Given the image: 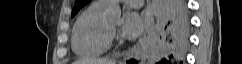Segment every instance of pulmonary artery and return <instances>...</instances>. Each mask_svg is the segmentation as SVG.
Here are the masks:
<instances>
[{
  "mask_svg": "<svg viewBox=\"0 0 242 64\" xmlns=\"http://www.w3.org/2000/svg\"><path fill=\"white\" fill-rule=\"evenodd\" d=\"M120 1L130 5L132 7H135V8H139L143 4L142 0H120ZM114 2H116V0H99V1H96L95 3L106 7V6H108V5H110L111 3H114Z\"/></svg>",
  "mask_w": 242,
  "mask_h": 64,
  "instance_id": "obj_1",
  "label": "pulmonary artery"
}]
</instances>
